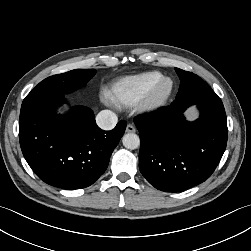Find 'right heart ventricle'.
Returning <instances> with one entry per match:
<instances>
[{"mask_svg":"<svg viewBox=\"0 0 251 251\" xmlns=\"http://www.w3.org/2000/svg\"><path fill=\"white\" fill-rule=\"evenodd\" d=\"M163 77L164 75L159 71H147L124 76L110 86L107 97L117 107L134 106Z\"/></svg>","mask_w":251,"mask_h":251,"instance_id":"e07e8e85","label":"right heart ventricle"}]
</instances>
